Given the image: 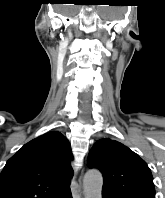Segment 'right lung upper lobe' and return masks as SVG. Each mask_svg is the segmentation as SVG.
I'll return each instance as SVG.
<instances>
[{
	"label": "right lung upper lobe",
	"instance_id": "1",
	"mask_svg": "<svg viewBox=\"0 0 165 198\" xmlns=\"http://www.w3.org/2000/svg\"><path fill=\"white\" fill-rule=\"evenodd\" d=\"M73 159L68 140L58 131L24 145L0 174V198H67Z\"/></svg>",
	"mask_w": 165,
	"mask_h": 198
}]
</instances>
